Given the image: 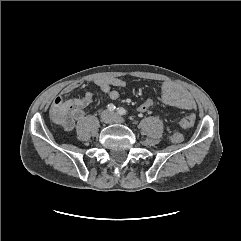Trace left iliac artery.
I'll use <instances>...</instances> for the list:
<instances>
[{
	"instance_id": "left-iliac-artery-1",
	"label": "left iliac artery",
	"mask_w": 241,
	"mask_h": 241,
	"mask_svg": "<svg viewBox=\"0 0 241 241\" xmlns=\"http://www.w3.org/2000/svg\"><path fill=\"white\" fill-rule=\"evenodd\" d=\"M117 112H118V114H120V115H126V114H127V110L124 109V108H122V107L117 108Z\"/></svg>"
}]
</instances>
